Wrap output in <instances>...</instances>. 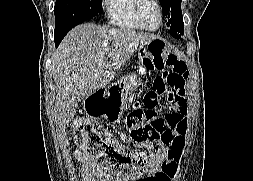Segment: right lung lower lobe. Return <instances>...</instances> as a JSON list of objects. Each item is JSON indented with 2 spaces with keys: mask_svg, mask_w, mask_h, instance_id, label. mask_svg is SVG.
Returning a JSON list of instances; mask_svg holds the SVG:
<instances>
[{
  "mask_svg": "<svg viewBox=\"0 0 253 181\" xmlns=\"http://www.w3.org/2000/svg\"><path fill=\"white\" fill-rule=\"evenodd\" d=\"M67 33H61V34H57L54 36V40H55V45L56 47L59 45V43L62 41V39L64 38V36L66 35Z\"/></svg>",
  "mask_w": 253,
  "mask_h": 181,
  "instance_id": "right-lung-lower-lobe-1",
  "label": "right lung lower lobe"
}]
</instances>
